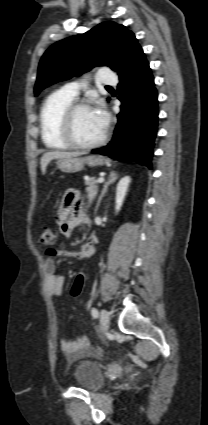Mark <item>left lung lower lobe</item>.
Segmentation results:
<instances>
[{"label":"left lung lower lobe","mask_w":208,"mask_h":425,"mask_svg":"<svg viewBox=\"0 0 208 425\" xmlns=\"http://www.w3.org/2000/svg\"><path fill=\"white\" fill-rule=\"evenodd\" d=\"M121 111L114 136L103 148L92 152L151 168L157 131L158 100L154 79L143 54L122 76L118 84Z\"/></svg>","instance_id":"obj_1"}]
</instances>
